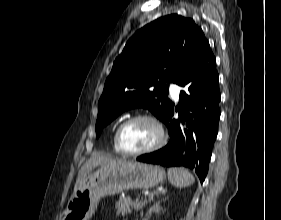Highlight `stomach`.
Listing matches in <instances>:
<instances>
[{
  "label": "stomach",
  "instance_id": "0dacf381",
  "mask_svg": "<svg viewBox=\"0 0 281 220\" xmlns=\"http://www.w3.org/2000/svg\"><path fill=\"white\" fill-rule=\"evenodd\" d=\"M165 177L162 167L140 162L114 169L99 168L73 193L60 220H89L102 197L128 189H149Z\"/></svg>",
  "mask_w": 281,
  "mask_h": 220
}]
</instances>
